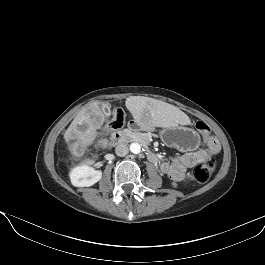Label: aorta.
<instances>
[{
	"label": "aorta",
	"instance_id": "aorta-1",
	"mask_svg": "<svg viewBox=\"0 0 265 265\" xmlns=\"http://www.w3.org/2000/svg\"><path fill=\"white\" fill-rule=\"evenodd\" d=\"M130 151L133 154H139L141 152V145L139 143H131L130 144Z\"/></svg>",
	"mask_w": 265,
	"mask_h": 265
}]
</instances>
